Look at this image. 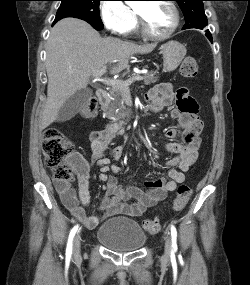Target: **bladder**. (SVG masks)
Masks as SVG:
<instances>
[{"label":"bladder","instance_id":"obj_1","mask_svg":"<svg viewBox=\"0 0 250 285\" xmlns=\"http://www.w3.org/2000/svg\"><path fill=\"white\" fill-rule=\"evenodd\" d=\"M96 239L106 248L124 253L142 248L147 237L139 223L134 219L113 217L98 227Z\"/></svg>","mask_w":250,"mask_h":285}]
</instances>
